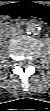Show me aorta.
Returning <instances> with one entry per match:
<instances>
[{
	"label": "aorta",
	"mask_w": 50,
	"mask_h": 111,
	"mask_svg": "<svg viewBox=\"0 0 50 111\" xmlns=\"http://www.w3.org/2000/svg\"><path fill=\"white\" fill-rule=\"evenodd\" d=\"M41 28L38 24L30 22L26 26V31L28 34L36 35L40 32Z\"/></svg>",
	"instance_id": "1"
}]
</instances>
